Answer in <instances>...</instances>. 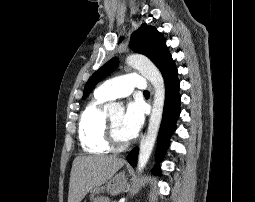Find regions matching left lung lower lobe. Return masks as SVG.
<instances>
[{
	"label": "left lung lower lobe",
	"mask_w": 255,
	"mask_h": 202,
	"mask_svg": "<svg viewBox=\"0 0 255 202\" xmlns=\"http://www.w3.org/2000/svg\"><path fill=\"white\" fill-rule=\"evenodd\" d=\"M166 95L165 104L158 136L157 158L161 160L169 145V139L176 129V121L180 115L181 96L179 94L180 83L178 73L165 82ZM138 147L134 148L128 155V162L135 167L138 157ZM154 175L160 176L161 170L155 167L152 170Z\"/></svg>",
	"instance_id": "1"
}]
</instances>
